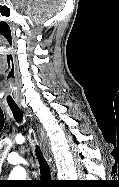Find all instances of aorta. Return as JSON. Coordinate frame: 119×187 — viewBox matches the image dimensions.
Returning a JSON list of instances; mask_svg holds the SVG:
<instances>
[{"label":"aorta","instance_id":"aorta-1","mask_svg":"<svg viewBox=\"0 0 119 187\" xmlns=\"http://www.w3.org/2000/svg\"><path fill=\"white\" fill-rule=\"evenodd\" d=\"M25 176H26V171H25L24 168H22V167H15L12 170L9 178L13 179V180H24Z\"/></svg>","mask_w":119,"mask_h":187}]
</instances>
